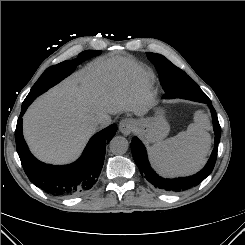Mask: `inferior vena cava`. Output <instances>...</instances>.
Masks as SVG:
<instances>
[{
    "label": "inferior vena cava",
    "mask_w": 245,
    "mask_h": 245,
    "mask_svg": "<svg viewBox=\"0 0 245 245\" xmlns=\"http://www.w3.org/2000/svg\"><path fill=\"white\" fill-rule=\"evenodd\" d=\"M96 124L105 126V125L109 124V120L106 119V118L101 117V118H98L96 120Z\"/></svg>",
    "instance_id": "1"
}]
</instances>
